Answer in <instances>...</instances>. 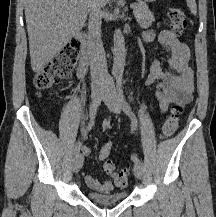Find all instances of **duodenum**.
<instances>
[{
    "mask_svg": "<svg viewBox=\"0 0 216 217\" xmlns=\"http://www.w3.org/2000/svg\"><path fill=\"white\" fill-rule=\"evenodd\" d=\"M76 39L81 45V53L79 56V71L85 72L90 64V46L83 32L76 33Z\"/></svg>",
    "mask_w": 216,
    "mask_h": 217,
    "instance_id": "duodenum-1",
    "label": "duodenum"
}]
</instances>
